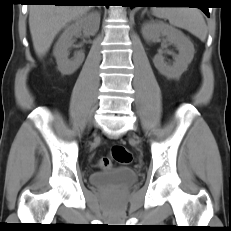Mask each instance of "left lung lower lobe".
I'll return each mask as SVG.
<instances>
[{
	"instance_id": "obj_1",
	"label": "left lung lower lobe",
	"mask_w": 231,
	"mask_h": 231,
	"mask_svg": "<svg viewBox=\"0 0 231 231\" xmlns=\"http://www.w3.org/2000/svg\"><path fill=\"white\" fill-rule=\"evenodd\" d=\"M158 1L159 0H133V2H135L136 4H142V6H147V7L154 6L153 4H156V3H162ZM201 5H204V4H201ZM200 9H202L204 13L209 17V11L207 7H200Z\"/></svg>"
}]
</instances>
